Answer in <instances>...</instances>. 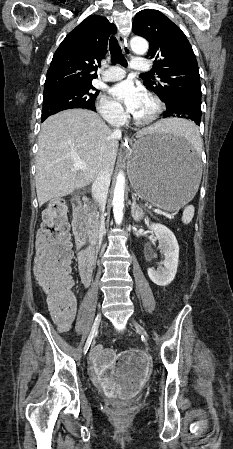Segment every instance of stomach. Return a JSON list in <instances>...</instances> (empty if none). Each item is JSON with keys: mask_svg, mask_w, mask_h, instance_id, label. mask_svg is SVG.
<instances>
[{"mask_svg": "<svg viewBox=\"0 0 233 449\" xmlns=\"http://www.w3.org/2000/svg\"><path fill=\"white\" fill-rule=\"evenodd\" d=\"M128 175L135 193L163 210L195 199L201 175L199 155L174 133H150L132 146Z\"/></svg>", "mask_w": 233, "mask_h": 449, "instance_id": "obj_1", "label": "stomach"}]
</instances>
